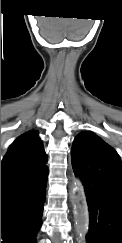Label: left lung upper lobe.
<instances>
[{
  "label": "left lung upper lobe",
  "instance_id": "5c2ea615",
  "mask_svg": "<svg viewBox=\"0 0 122 243\" xmlns=\"http://www.w3.org/2000/svg\"><path fill=\"white\" fill-rule=\"evenodd\" d=\"M105 148H111L100 137L92 132H81L74 140L72 147V167L78 159L101 153Z\"/></svg>",
  "mask_w": 122,
  "mask_h": 243
}]
</instances>
